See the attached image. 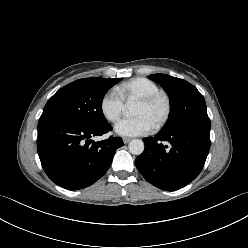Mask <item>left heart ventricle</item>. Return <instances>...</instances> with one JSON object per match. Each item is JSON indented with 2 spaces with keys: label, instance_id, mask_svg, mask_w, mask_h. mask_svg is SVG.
<instances>
[{
  "label": "left heart ventricle",
  "instance_id": "1",
  "mask_svg": "<svg viewBox=\"0 0 248 248\" xmlns=\"http://www.w3.org/2000/svg\"><path fill=\"white\" fill-rule=\"evenodd\" d=\"M164 110L165 106L163 102H158L151 106L137 103L134 109V115L146 117L154 126L162 117Z\"/></svg>",
  "mask_w": 248,
  "mask_h": 248
}]
</instances>
